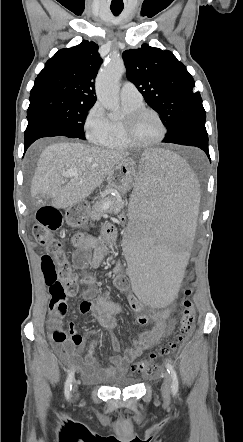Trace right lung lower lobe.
Here are the masks:
<instances>
[{"instance_id": "98d812e1", "label": "right lung lower lobe", "mask_w": 243, "mask_h": 442, "mask_svg": "<svg viewBox=\"0 0 243 442\" xmlns=\"http://www.w3.org/2000/svg\"><path fill=\"white\" fill-rule=\"evenodd\" d=\"M53 136L76 138L70 130L53 120L43 117H33L29 119L24 134V151H26L35 140L42 137Z\"/></svg>"}]
</instances>
